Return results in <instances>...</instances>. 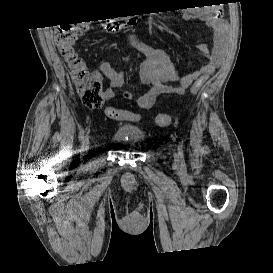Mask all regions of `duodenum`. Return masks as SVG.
I'll return each instance as SVG.
<instances>
[{
	"label": "duodenum",
	"instance_id": "duodenum-1",
	"mask_svg": "<svg viewBox=\"0 0 273 273\" xmlns=\"http://www.w3.org/2000/svg\"><path fill=\"white\" fill-rule=\"evenodd\" d=\"M137 23L135 18H127L125 20L112 19L106 23V29L110 32H119L131 27Z\"/></svg>",
	"mask_w": 273,
	"mask_h": 273
}]
</instances>
